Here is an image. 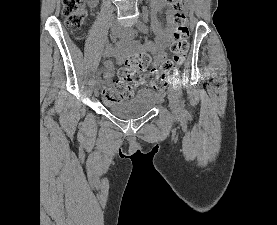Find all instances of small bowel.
<instances>
[{
    "instance_id": "obj_1",
    "label": "small bowel",
    "mask_w": 277,
    "mask_h": 225,
    "mask_svg": "<svg viewBox=\"0 0 277 225\" xmlns=\"http://www.w3.org/2000/svg\"><path fill=\"white\" fill-rule=\"evenodd\" d=\"M91 5H95L96 0H91ZM174 3V0H151L152 4V25L154 32L156 34V43H148L142 47L143 50L149 52L153 58L154 67L160 66L166 59V47L171 40L172 33V24L171 18L172 15L169 13L167 15V21L164 25L161 20L158 18V14L166 7H171ZM132 49H140L141 47L138 44H130ZM102 57H113L118 63H120L124 58L123 45H110L103 52L100 53ZM114 74V63L111 60H106L103 64L102 71L98 74L97 80L100 85H107ZM163 92L158 90V95H161Z\"/></svg>"
}]
</instances>
